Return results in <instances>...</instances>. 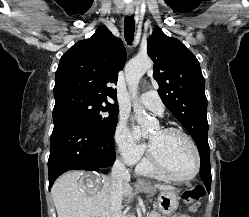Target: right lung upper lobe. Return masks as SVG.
Returning a JSON list of instances; mask_svg holds the SVG:
<instances>
[{"instance_id": "1", "label": "right lung upper lobe", "mask_w": 249, "mask_h": 217, "mask_svg": "<svg viewBox=\"0 0 249 217\" xmlns=\"http://www.w3.org/2000/svg\"><path fill=\"white\" fill-rule=\"evenodd\" d=\"M126 62V51L120 39L106 27L74 44L61 57L55 75L54 96L79 92L91 97L116 99V90L108 83H117V74Z\"/></svg>"}]
</instances>
